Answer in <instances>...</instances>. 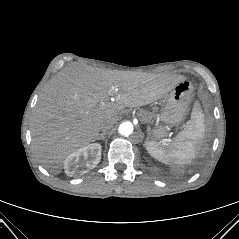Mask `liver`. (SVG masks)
<instances>
[{"label": "liver", "instance_id": "obj_1", "mask_svg": "<svg viewBox=\"0 0 239 239\" xmlns=\"http://www.w3.org/2000/svg\"><path fill=\"white\" fill-rule=\"evenodd\" d=\"M184 80L88 66L64 69L50 81L33 112L32 147L39 162L60 174L70 153L97 139L102 123H116L125 107L151 104Z\"/></svg>", "mask_w": 239, "mask_h": 239}]
</instances>
